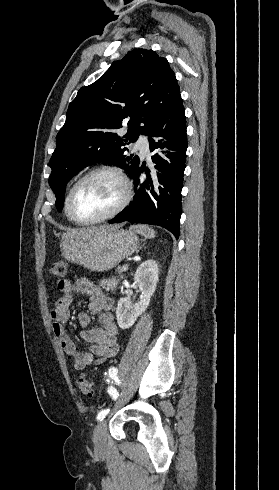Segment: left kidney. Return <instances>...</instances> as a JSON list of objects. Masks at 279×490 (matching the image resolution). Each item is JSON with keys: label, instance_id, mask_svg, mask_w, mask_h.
I'll return each mask as SVG.
<instances>
[{"label": "left kidney", "instance_id": "1", "mask_svg": "<svg viewBox=\"0 0 279 490\" xmlns=\"http://www.w3.org/2000/svg\"><path fill=\"white\" fill-rule=\"evenodd\" d=\"M159 268L154 260H146L137 268L134 282L142 296L137 304H131L128 298H120L116 308V318L119 328L128 330L135 324L137 318L148 308L151 298L157 288Z\"/></svg>", "mask_w": 279, "mask_h": 490}]
</instances>
